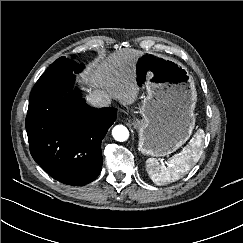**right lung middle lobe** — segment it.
I'll list each match as a JSON object with an SVG mask.
<instances>
[{
    "label": "right lung middle lobe",
    "mask_w": 243,
    "mask_h": 243,
    "mask_svg": "<svg viewBox=\"0 0 243 243\" xmlns=\"http://www.w3.org/2000/svg\"><path fill=\"white\" fill-rule=\"evenodd\" d=\"M72 57L68 59L66 57H61L57 59L53 64H51L45 73H79L84 65L77 64Z\"/></svg>",
    "instance_id": "right-lung-middle-lobe-1"
}]
</instances>
